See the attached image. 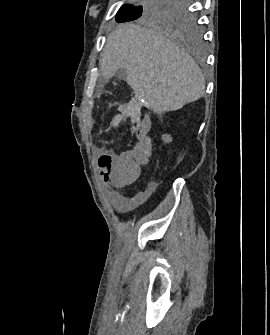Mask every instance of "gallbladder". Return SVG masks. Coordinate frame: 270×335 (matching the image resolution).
<instances>
[{
	"label": "gallbladder",
	"instance_id": "1",
	"mask_svg": "<svg viewBox=\"0 0 270 335\" xmlns=\"http://www.w3.org/2000/svg\"><path fill=\"white\" fill-rule=\"evenodd\" d=\"M117 76L118 78H122V80H126V70L120 68V70H117Z\"/></svg>",
	"mask_w": 270,
	"mask_h": 335
}]
</instances>
